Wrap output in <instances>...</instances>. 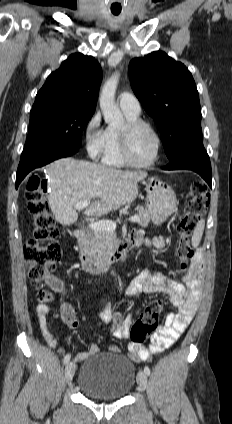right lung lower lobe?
<instances>
[{
	"label": "right lung lower lobe",
	"instance_id": "obj_1",
	"mask_svg": "<svg viewBox=\"0 0 232 424\" xmlns=\"http://www.w3.org/2000/svg\"><path fill=\"white\" fill-rule=\"evenodd\" d=\"M79 149L78 147L68 146H43L34 149L26 156H21L16 176V188L31 170L42 167L59 158L71 156L78 152Z\"/></svg>",
	"mask_w": 232,
	"mask_h": 424
}]
</instances>
